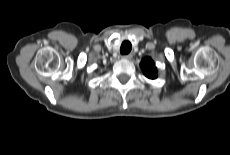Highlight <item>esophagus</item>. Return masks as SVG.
Masks as SVG:
<instances>
[{
	"label": "esophagus",
	"instance_id": "esophagus-1",
	"mask_svg": "<svg viewBox=\"0 0 230 155\" xmlns=\"http://www.w3.org/2000/svg\"><path fill=\"white\" fill-rule=\"evenodd\" d=\"M132 55L131 54H126V55H123L122 58L123 59H126V60H129L131 59Z\"/></svg>",
	"mask_w": 230,
	"mask_h": 155
}]
</instances>
